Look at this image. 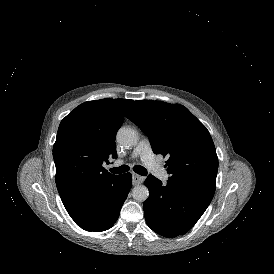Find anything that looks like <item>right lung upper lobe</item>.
<instances>
[{
    "label": "right lung upper lobe",
    "instance_id": "1",
    "mask_svg": "<svg viewBox=\"0 0 274 274\" xmlns=\"http://www.w3.org/2000/svg\"><path fill=\"white\" fill-rule=\"evenodd\" d=\"M132 102L110 98L88 101L61 121L53 158L56 186L66 210L85 202L118 176L102 164L117 158L116 133Z\"/></svg>",
    "mask_w": 274,
    "mask_h": 274
}]
</instances>
